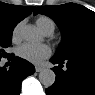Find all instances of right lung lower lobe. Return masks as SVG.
Masks as SVG:
<instances>
[{
    "label": "right lung lower lobe",
    "mask_w": 95,
    "mask_h": 95,
    "mask_svg": "<svg viewBox=\"0 0 95 95\" xmlns=\"http://www.w3.org/2000/svg\"><path fill=\"white\" fill-rule=\"evenodd\" d=\"M34 72L35 68L32 64L15 57L9 70L5 67L0 68V95H19L21 82Z\"/></svg>",
    "instance_id": "right-lung-lower-lobe-1"
}]
</instances>
